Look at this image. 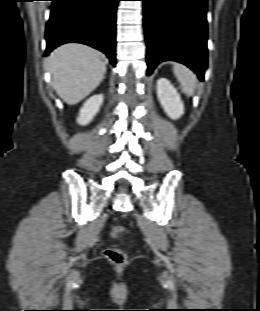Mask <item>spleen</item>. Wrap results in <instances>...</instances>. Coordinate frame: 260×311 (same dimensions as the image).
I'll list each match as a JSON object with an SVG mask.
<instances>
[{"label":"spleen","instance_id":"spleen-1","mask_svg":"<svg viewBox=\"0 0 260 311\" xmlns=\"http://www.w3.org/2000/svg\"><path fill=\"white\" fill-rule=\"evenodd\" d=\"M173 72L187 96H193L196 88V75L185 65L175 63Z\"/></svg>","mask_w":260,"mask_h":311}]
</instances>
